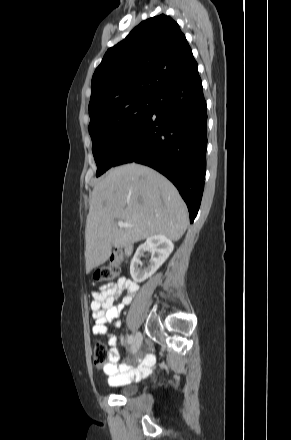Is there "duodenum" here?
<instances>
[{
  "instance_id": "obj_1",
  "label": "duodenum",
  "mask_w": 291,
  "mask_h": 440,
  "mask_svg": "<svg viewBox=\"0 0 291 440\" xmlns=\"http://www.w3.org/2000/svg\"><path fill=\"white\" fill-rule=\"evenodd\" d=\"M124 251H125V253H129L131 251V246L130 245H125L124 246Z\"/></svg>"
}]
</instances>
